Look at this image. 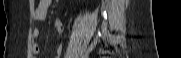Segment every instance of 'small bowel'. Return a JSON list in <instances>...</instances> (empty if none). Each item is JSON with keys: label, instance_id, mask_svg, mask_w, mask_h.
<instances>
[{"label": "small bowel", "instance_id": "c3829d8e", "mask_svg": "<svg viewBox=\"0 0 181 58\" xmlns=\"http://www.w3.org/2000/svg\"><path fill=\"white\" fill-rule=\"evenodd\" d=\"M50 4H51V0H40L39 1L38 5L35 8L34 13H33V18L35 21L41 22V21H44L46 19ZM55 28H56L58 33H62L64 30L63 22L61 20H57L55 22ZM39 33H40L39 29L37 27H35L33 29V36L35 38H37L39 36ZM32 52L34 54H38L40 52V47L37 43L33 44ZM57 52H58V54H60V52H61L60 47H58Z\"/></svg>", "mask_w": 181, "mask_h": 58}]
</instances>
